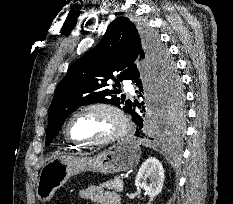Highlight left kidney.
<instances>
[{"label":"left kidney","instance_id":"obj_1","mask_svg":"<svg viewBox=\"0 0 233 204\" xmlns=\"http://www.w3.org/2000/svg\"><path fill=\"white\" fill-rule=\"evenodd\" d=\"M164 169L155 158L150 157L140 167L135 179L137 189H143L150 197L149 203L161 192L164 183Z\"/></svg>","mask_w":233,"mask_h":204}]
</instances>
